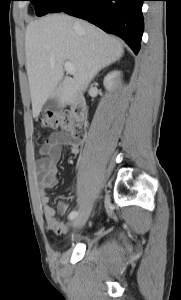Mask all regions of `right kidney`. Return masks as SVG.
<instances>
[{
	"label": "right kidney",
	"mask_w": 181,
	"mask_h": 300,
	"mask_svg": "<svg viewBox=\"0 0 181 300\" xmlns=\"http://www.w3.org/2000/svg\"><path fill=\"white\" fill-rule=\"evenodd\" d=\"M120 76L121 73L119 71H112L109 74H107L106 77L104 78L105 88L111 91L115 87V84L118 82Z\"/></svg>",
	"instance_id": "1"
}]
</instances>
